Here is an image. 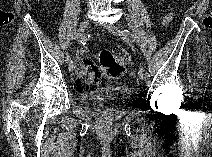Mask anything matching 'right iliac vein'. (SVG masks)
I'll return each mask as SVG.
<instances>
[{
  "label": "right iliac vein",
  "instance_id": "obj_1",
  "mask_svg": "<svg viewBox=\"0 0 212 157\" xmlns=\"http://www.w3.org/2000/svg\"><path fill=\"white\" fill-rule=\"evenodd\" d=\"M88 25H89V20H87V19L83 20V21L80 23L78 32H77V34H76L78 40L82 39L83 33H84L85 29L88 27ZM75 68H76V63H75V61H72V62L69 64V71H70V72H73V71L75 70Z\"/></svg>",
  "mask_w": 212,
  "mask_h": 157
}]
</instances>
